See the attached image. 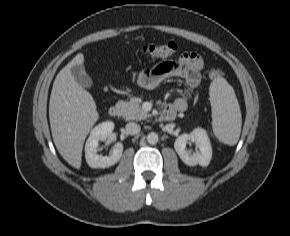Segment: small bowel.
I'll return each mask as SVG.
<instances>
[{
  "label": "small bowel",
  "instance_id": "small-bowel-1",
  "mask_svg": "<svg viewBox=\"0 0 290 236\" xmlns=\"http://www.w3.org/2000/svg\"><path fill=\"white\" fill-rule=\"evenodd\" d=\"M203 68L204 62L198 53L185 52L173 61H165L141 71L136 78V83L141 88L154 89L167 79L184 80L190 90L189 93L185 97L175 99L166 107V109L183 111L187 107L192 91L200 84Z\"/></svg>",
  "mask_w": 290,
  "mask_h": 236
}]
</instances>
